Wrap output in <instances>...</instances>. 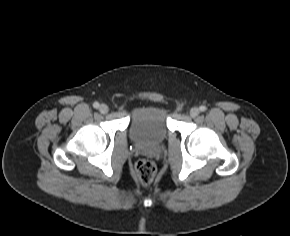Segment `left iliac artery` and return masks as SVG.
Masks as SVG:
<instances>
[{
    "mask_svg": "<svg viewBox=\"0 0 290 236\" xmlns=\"http://www.w3.org/2000/svg\"><path fill=\"white\" fill-rule=\"evenodd\" d=\"M206 106H204V105H202V106H200V111H202V112H204V111H206Z\"/></svg>",
    "mask_w": 290,
    "mask_h": 236,
    "instance_id": "left-iliac-artery-1",
    "label": "left iliac artery"
}]
</instances>
